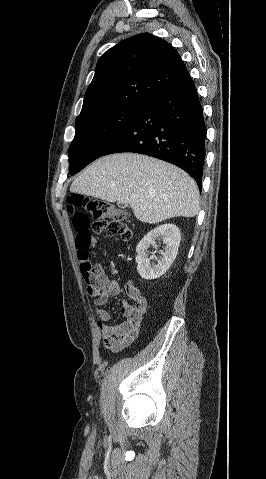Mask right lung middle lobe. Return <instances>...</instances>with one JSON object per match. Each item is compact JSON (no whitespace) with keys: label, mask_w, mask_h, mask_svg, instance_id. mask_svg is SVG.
<instances>
[{"label":"right lung middle lobe","mask_w":266,"mask_h":479,"mask_svg":"<svg viewBox=\"0 0 266 479\" xmlns=\"http://www.w3.org/2000/svg\"><path fill=\"white\" fill-rule=\"evenodd\" d=\"M142 110L120 108L76 119V133L69 147L70 172L78 173L99 158Z\"/></svg>","instance_id":"obj_1"}]
</instances>
